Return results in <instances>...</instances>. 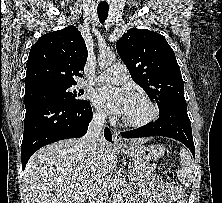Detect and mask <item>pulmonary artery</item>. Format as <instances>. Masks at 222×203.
I'll return each instance as SVG.
<instances>
[{
	"instance_id": "1",
	"label": "pulmonary artery",
	"mask_w": 222,
	"mask_h": 203,
	"mask_svg": "<svg viewBox=\"0 0 222 203\" xmlns=\"http://www.w3.org/2000/svg\"><path fill=\"white\" fill-rule=\"evenodd\" d=\"M127 69L122 63H116L107 70L99 73L88 83H122L127 79Z\"/></svg>"
}]
</instances>
